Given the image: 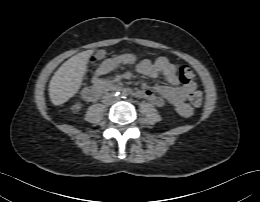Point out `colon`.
Masks as SVG:
<instances>
[{
	"mask_svg": "<svg viewBox=\"0 0 260 202\" xmlns=\"http://www.w3.org/2000/svg\"><path fill=\"white\" fill-rule=\"evenodd\" d=\"M179 78L183 84L194 82L195 73L186 65H183L179 69ZM189 100L194 106H199L202 102V94L200 91H192L189 95Z\"/></svg>",
	"mask_w": 260,
	"mask_h": 202,
	"instance_id": "5ec220e1",
	"label": "colon"
}]
</instances>
